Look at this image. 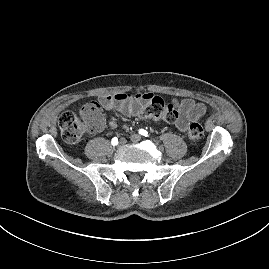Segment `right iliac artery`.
Listing matches in <instances>:
<instances>
[{
  "instance_id": "82829eb1",
  "label": "right iliac artery",
  "mask_w": 269,
  "mask_h": 269,
  "mask_svg": "<svg viewBox=\"0 0 269 269\" xmlns=\"http://www.w3.org/2000/svg\"><path fill=\"white\" fill-rule=\"evenodd\" d=\"M118 142V139L116 137H114L111 141L112 145L115 146L116 143Z\"/></svg>"
}]
</instances>
